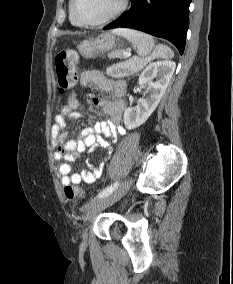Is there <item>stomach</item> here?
Returning a JSON list of instances; mask_svg holds the SVG:
<instances>
[{"mask_svg": "<svg viewBox=\"0 0 233 284\" xmlns=\"http://www.w3.org/2000/svg\"><path fill=\"white\" fill-rule=\"evenodd\" d=\"M118 43L116 36L112 33H102L96 38H90L82 41L78 45L79 53L85 58H92L99 53H106L117 49ZM123 50L122 47H118Z\"/></svg>", "mask_w": 233, "mask_h": 284, "instance_id": "1", "label": "stomach"}]
</instances>
